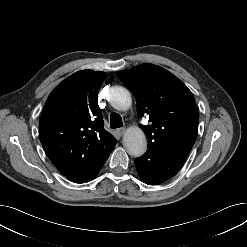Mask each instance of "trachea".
Returning a JSON list of instances; mask_svg holds the SVG:
<instances>
[{
	"instance_id": "3493384b",
	"label": "trachea",
	"mask_w": 247,
	"mask_h": 247,
	"mask_svg": "<svg viewBox=\"0 0 247 247\" xmlns=\"http://www.w3.org/2000/svg\"><path fill=\"white\" fill-rule=\"evenodd\" d=\"M110 126L111 128H118L123 126L122 117L117 113H111L110 115Z\"/></svg>"
}]
</instances>
